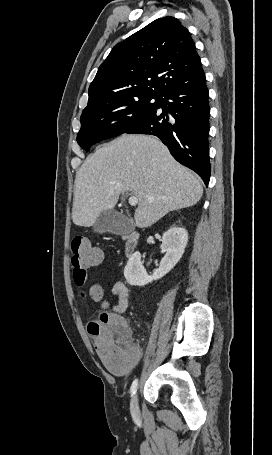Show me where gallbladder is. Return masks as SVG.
Here are the masks:
<instances>
[{
    "label": "gallbladder",
    "instance_id": "gallbladder-1",
    "mask_svg": "<svg viewBox=\"0 0 272 455\" xmlns=\"http://www.w3.org/2000/svg\"><path fill=\"white\" fill-rule=\"evenodd\" d=\"M93 227L99 233L129 234L134 230L132 221L113 209L102 212Z\"/></svg>",
    "mask_w": 272,
    "mask_h": 455
}]
</instances>
